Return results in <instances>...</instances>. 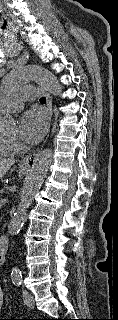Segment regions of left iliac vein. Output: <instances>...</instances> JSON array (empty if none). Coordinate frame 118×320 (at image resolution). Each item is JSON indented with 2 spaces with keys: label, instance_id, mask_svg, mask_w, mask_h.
I'll return each mask as SVG.
<instances>
[{
  "label": "left iliac vein",
  "instance_id": "4c4485c4",
  "mask_svg": "<svg viewBox=\"0 0 118 320\" xmlns=\"http://www.w3.org/2000/svg\"><path fill=\"white\" fill-rule=\"evenodd\" d=\"M23 300L26 306H28L29 308H33L34 307V298L32 296V294L30 292H28L27 290L23 291Z\"/></svg>",
  "mask_w": 118,
  "mask_h": 320
}]
</instances>
